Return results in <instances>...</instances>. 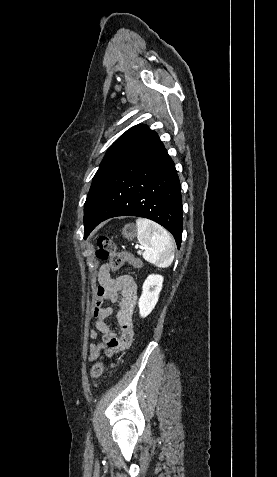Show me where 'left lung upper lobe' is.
<instances>
[{"instance_id":"left-lung-upper-lobe-1","label":"left lung upper lobe","mask_w":277,"mask_h":477,"mask_svg":"<svg viewBox=\"0 0 277 477\" xmlns=\"http://www.w3.org/2000/svg\"><path fill=\"white\" fill-rule=\"evenodd\" d=\"M157 136L146 125H136L124 132L108 149L96 172L84 205V224L91 218L97 202L112 175L142 146Z\"/></svg>"}]
</instances>
